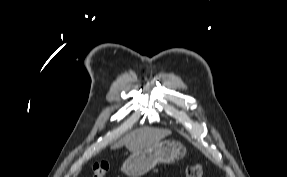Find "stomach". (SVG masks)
I'll return each instance as SVG.
<instances>
[{
  "instance_id": "obj_1",
  "label": "stomach",
  "mask_w": 287,
  "mask_h": 177,
  "mask_svg": "<svg viewBox=\"0 0 287 177\" xmlns=\"http://www.w3.org/2000/svg\"><path fill=\"white\" fill-rule=\"evenodd\" d=\"M186 154V148L177 141L165 140L139 152H133L123 163L121 170L129 177H140L157 163H173Z\"/></svg>"
}]
</instances>
